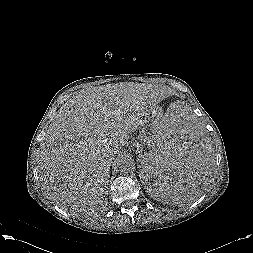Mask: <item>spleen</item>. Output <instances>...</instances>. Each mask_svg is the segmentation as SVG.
<instances>
[{
    "instance_id": "3e777b00",
    "label": "spleen",
    "mask_w": 253,
    "mask_h": 253,
    "mask_svg": "<svg viewBox=\"0 0 253 253\" xmlns=\"http://www.w3.org/2000/svg\"><path fill=\"white\" fill-rule=\"evenodd\" d=\"M213 174L211 140L204 126L183 102L159 120L153 140L139 165V177L159 200L180 202L193 198Z\"/></svg>"
}]
</instances>
